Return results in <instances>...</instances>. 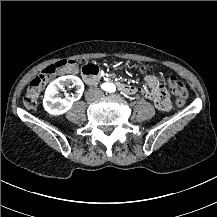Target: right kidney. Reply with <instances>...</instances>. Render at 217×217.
<instances>
[{"mask_svg": "<svg viewBox=\"0 0 217 217\" xmlns=\"http://www.w3.org/2000/svg\"><path fill=\"white\" fill-rule=\"evenodd\" d=\"M76 87L78 97L74 99H67L59 97V90L64 87ZM84 92V84L82 80L74 75H66L57 78L50 83L45 91L43 99L44 110L53 116H60L68 112L76 99L80 98Z\"/></svg>", "mask_w": 217, "mask_h": 217, "instance_id": "obj_1", "label": "right kidney"}]
</instances>
